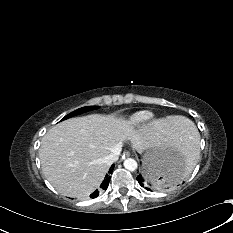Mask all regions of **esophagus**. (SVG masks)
Wrapping results in <instances>:
<instances>
[{
	"instance_id": "34e87169",
	"label": "esophagus",
	"mask_w": 233,
	"mask_h": 233,
	"mask_svg": "<svg viewBox=\"0 0 233 233\" xmlns=\"http://www.w3.org/2000/svg\"><path fill=\"white\" fill-rule=\"evenodd\" d=\"M124 157H129L130 156V153L128 151L124 152Z\"/></svg>"
}]
</instances>
